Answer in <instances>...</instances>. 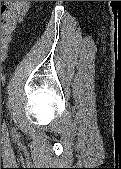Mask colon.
Masks as SVG:
<instances>
[{
	"label": "colon",
	"mask_w": 121,
	"mask_h": 169,
	"mask_svg": "<svg viewBox=\"0 0 121 169\" xmlns=\"http://www.w3.org/2000/svg\"><path fill=\"white\" fill-rule=\"evenodd\" d=\"M29 8V1H3L1 7V52L5 57L9 43L15 30L22 21Z\"/></svg>",
	"instance_id": "5ec220e1"
}]
</instances>
